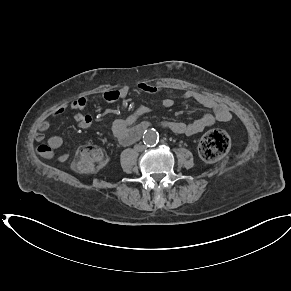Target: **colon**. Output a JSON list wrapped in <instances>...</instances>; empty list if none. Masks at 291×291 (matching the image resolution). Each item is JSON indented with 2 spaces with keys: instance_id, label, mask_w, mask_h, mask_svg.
Wrapping results in <instances>:
<instances>
[{
  "instance_id": "5ec220e1",
  "label": "colon",
  "mask_w": 291,
  "mask_h": 291,
  "mask_svg": "<svg viewBox=\"0 0 291 291\" xmlns=\"http://www.w3.org/2000/svg\"><path fill=\"white\" fill-rule=\"evenodd\" d=\"M229 147L230 138L227 133L220 129H214L206 133L202 138L199 152L204 160L212 162L220 159L228 151ZM41 150L46 151V148L41 147ZM104 164V152L97 146L86 145L78 150L72 162V169L79 173H89Z\"/></svg>"
}]
</instances>
